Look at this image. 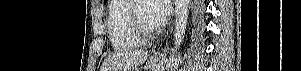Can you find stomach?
Returning <instances> with one entry per match:
<instances>
[{"instance_id": "1", "label": "stomach", "mask_w": 301, "mask_h": 71, "mask_svg": "<svg viewBox=\"0 0 301 71\" xmlns=\"http://www.w3.org/2000/svg\"><path fill=\"white\" fill-rule=\"evenodd\" d=\"M146 71H165V60L157 56H151L144 66ZM122 71H142V67L125 68Z\"/></svg>"}]
</instances>
